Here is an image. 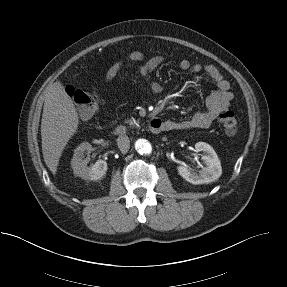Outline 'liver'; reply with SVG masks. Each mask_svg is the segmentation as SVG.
<instances>
[{"instance_id": "obj_1", "label": "liver", "mask_w": 287, "mask_h": 287, "mask_svg": "<svg viewBox=\"0 0 287 287\" xmlns=\"http://www.w3.org/2000/svg\"><path fill=\"white\" fill-rule=\"evenodd\" d=\"M78 125L72 99L60 81L54 82L45 94L41 120L43 158L52 174H56L62 152Z\"/></svg>"}]
</instances>
